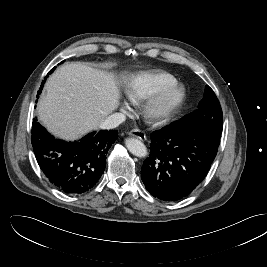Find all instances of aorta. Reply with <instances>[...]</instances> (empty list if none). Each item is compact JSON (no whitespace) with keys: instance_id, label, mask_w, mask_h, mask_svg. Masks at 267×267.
<instances>
[{"instance_id":"762f6f07","label":"aorta","mask_w":267,"mask_h":267,"mask_svg":"<svg viewBox=\"0 0 267 267\" xmlns=\"http://www.w3.org/2000/svg\"><path fill=\"white\" fill-rule=\"evenodd\" d=\"M125 145L130 153L137 157H145L147 155L146 146L136 138H127L125 140Z\"/></svg>"}]
</instances>
